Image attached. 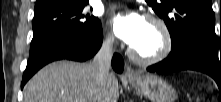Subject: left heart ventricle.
Wrapping results in <instances>:
<instances>
[{
	"instance_id": "1",
	"label": "left heart ventricle",
	"mask_w": 221,
	"mask_h": 102,
	"mask_svg": "<svg viewBox=\"0 0 221 102\" xmlns=\"http://www.w3.org/2000/svg\"><path fill=\"white\" fill-rule=\"evenodd\" d=\"M162 44L163 39L158 27L145 20L141 35L132 48L142 56H152L160 51Z\"/></svg>"
}]
</instances>
